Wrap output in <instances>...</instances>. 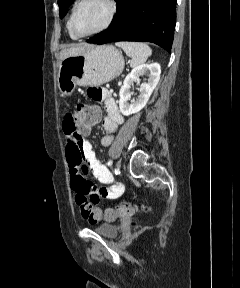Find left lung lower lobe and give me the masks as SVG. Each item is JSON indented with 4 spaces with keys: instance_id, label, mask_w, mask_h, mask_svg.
Returning <instances> with one entry per match:
<instances>
[{
    "instance_id": "obj_1",
    "label": "left lung lower lobe",
    "mask_w": 240,
    "mask_h": 288,
    "mask_svg": "<svg viewBox=\"0 0 240 288\" xmlns=\"http://www.w3.org/2000/svg\"><path fill=\"white\" fill-rule=\"evenodd\" d=\"M111 25L88 43L115 41L152 42L171 53L177 0H115Z\"/></svg>"
}]
</instances>
